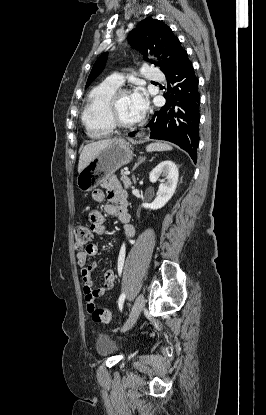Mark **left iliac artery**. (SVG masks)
<instances>
[{"mask_svg": "<svg viewBox=\"0 0 266 415\" xmlns=\"http://www.w3.org/2000/svg\"><path fill=\"white\" fill-rule=\"evenodd\" d=\"M124 300H125V293L121 294V296L119 297L118 305H119L120 310H122Z\"/></svg>", "mask_w": 266, "mask_h": 415, "instance_id": "44dca946", "label": "left iliac artery"}]
</instances>
